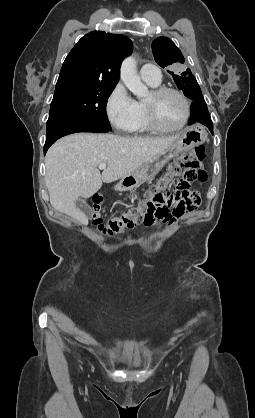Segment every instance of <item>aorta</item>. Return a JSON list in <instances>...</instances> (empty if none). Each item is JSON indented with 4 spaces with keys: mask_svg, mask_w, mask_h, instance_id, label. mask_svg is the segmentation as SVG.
<instances>
[{
    "mask_svg": "<svg viewBox=\"0 0 255 418\" xmlns=\"http://www.w3.org/2000/svg\"><path fill=\"white\" fill-rule=\"evenodd\" d=\"M120 78L125 86L138 98L148 95V88L141 82L136 69V60L127 57L123 60L120 68Z\"/></svg>",
    "mask_w": 255,
    "mask_h": 418,
    "instance_id": "762f6f07",
    "label": "aorta"
}]
</instances>
